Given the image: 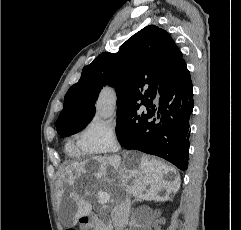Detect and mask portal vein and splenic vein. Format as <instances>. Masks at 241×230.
<instances>
[{
  "instance_id": "portal-vein-and-splenic-vein-1",
  "label": "portal vein and splenic vein",
  "mask_w": 241,
  "mask_h": 230,
  "mask_svg": "<svg viewBox=\"0 0 241 230\" xmlns=\"http://www.w3.org/2000/svg\"><path fill=\"white\" fill-rule=\"evenodd\" d=\"M98 195H99V203L101 204L107 203L110 199L109 194H107L106 192H99Z\"/></svg>"
}]
</instances>
